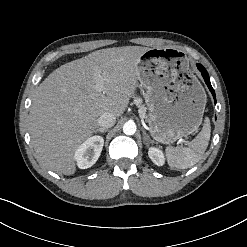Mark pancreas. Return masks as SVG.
Instances as JSON below:
<instances>
[{
    "instance_id": "cf45deb5",
    "label": "pancreas",
    "mask_w": 247,
    "mask_h": 247,
    "mask_svg": "<svg viewBox=\"0 0 247 247\" xmlns=\"http://www.w3.org/2000/svg\"><path fill=\"white\" fill-rule=\"evenodd\" d=\"M141 102H142V100H141L140 98H136V99L134 100V103H135L136 105H138V107H139V113H140V115H141L142 117H145L146 108H145L143 105H141Z\"/></svg>"
}]
</instances>
